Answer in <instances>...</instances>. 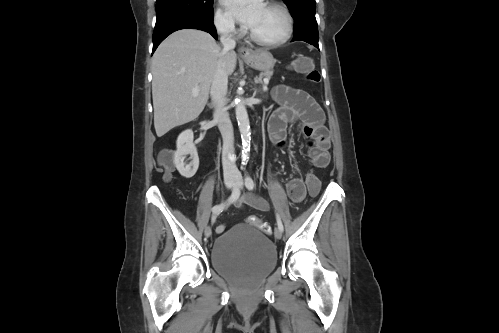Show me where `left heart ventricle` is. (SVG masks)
<instances>
[{
	"label": "left heart ventricle",
	"mask_w": 499,
	"mask_h": 333,
	"mask_svg": "<svg viewBox=\"0 0 499 333\" xmlns=\"http://www.w3.org/2000/svg\"><path fill=\"white\" fill-rule=\"evenodd\" d=\"M285 28L283 13L279 9L265 6L250 30L260 39L276 40L283 36Z\"/></svg>",
	"instance_id": "b2bd125f"
}]
</instances>
